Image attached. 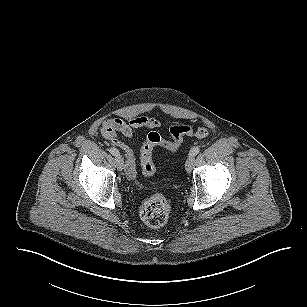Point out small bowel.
Here are the masks:
<instances>
[{"mask_svg": "<svg viewBox=\"0 0 307 307\" xmlns=\"http://www.w3.org/2000/svg\"><path fill=\"white\" fill-rule=\"evenodd\" d=\"M161 125L156 118L144 116L130 118L128 120L106 119L102 123L101 133L113 146L120 149L125 156V170L129 177L136 175V158L133 150L119 139V135L132 138L138 129H157Z\"/></svg>", "mask_w": 307, "mask_h": 307, "instance_id": "obj_1", "label": "small bowel"}]
</instances>
